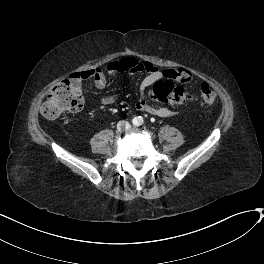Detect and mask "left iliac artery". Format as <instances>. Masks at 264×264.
Here are the masks:
<instances>
[{"mask_svg": "<svg viewBox=\"0 0 264 264\" xmlns=\"http://www.w3.org/2000/svg\"><path fill=\"white\" fill-rule=\"evenodd\" d=\"M141 123L140 122H137V126H139Z\"/></svg>", "mask_w": 264, "mask_h": 264, "instance_id": "left-iliac-artery-1", "label": "left iliac artery"}]
</instances>
